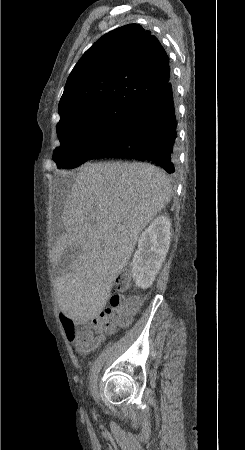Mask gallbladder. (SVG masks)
<instances>
[{
	"label": "gallbladder",
	"mask_w": 245,
	"mask_h": 450,
	"mask_svg": "<svg viewBox=\"0 0 245 450\" xmlns=\"http://www.w3.org/2000/svg\"><path fill=\"white\" fill-rule=\"evenodd\" d=\"M79 253H80L79 248H75V247L68 248L66 250L65 254L63 255V258L59 265L58 270L59 271L68 270L70 264L72 263V261L74 259H76V257L78 256Z\"/></svg>",
	"instance_id": "1"
}]
</instances>
